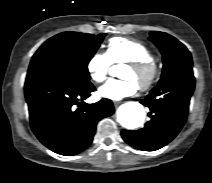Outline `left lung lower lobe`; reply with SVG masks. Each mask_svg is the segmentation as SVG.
I'll return each instance as SVG.
<instances>
[{"label": "left lung lower lobe", "mask_w": 212, "mask_h": 183, "mask_svg": "<svg viewBox=\"0 0 212 183\" xmlns=\"http://www.w3.org/2000/svg\"><path fill=\"white\" fill-rule=\"evenodd\" d=\"M195 87L192 68L182 70L155 86L141 103L151 118L136 131L123 130L122 138L131 146L154 151L171 142L183 127Z\"/></svg>", "instance_id": "0a47b994"}]
</instances>
